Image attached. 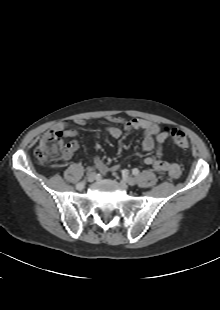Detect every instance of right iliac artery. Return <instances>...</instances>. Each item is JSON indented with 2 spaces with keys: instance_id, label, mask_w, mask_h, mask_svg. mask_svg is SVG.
I'll return each mask as SVG.
<instances>
[{
  "instance_id": "right-iliac-artery-1",
  "label": "right iliac artery",
  "mask_w": 220,
  "mask_h": 310,
  "mask_svg": "<svg viewBox=\"0 0 220 310\" xmlns=\"http://www.w3.org/2000/svg\"><path fill=\"white\" fill-rule=\"evenodd\" d=\"M90 171H92V169H90ZM84 185H85V181H82L76 185V189L82 190L84 188Z\"/></svg>"
}]
</instances>
